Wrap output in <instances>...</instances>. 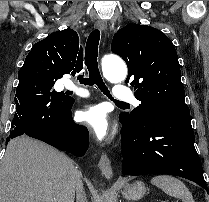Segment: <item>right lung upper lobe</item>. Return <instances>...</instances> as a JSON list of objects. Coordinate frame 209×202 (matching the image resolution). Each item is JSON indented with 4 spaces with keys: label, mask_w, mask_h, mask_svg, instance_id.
<instances>
[{
    "label": "right lung upper lobe",
    "mask_w": 209,
    "mask_h": 202,
    "mask_svg": "<svg viewBox=\"0 0 209 202\" xmlns=\"http://www.w3.org/2000/svg\"><path fill=\"white\" fill-rule=\"evenodd\" d=\"M83 68L79 37L73 29L51 33L36 43L28 53L18 76L32 78L44 75L59 79L64 74L75 75Z\"/></svg>",
    "instance_id": "right-lung-upper-lobe-1"
}]
</instances>
